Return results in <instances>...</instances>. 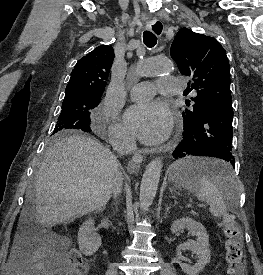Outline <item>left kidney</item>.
<instances>
[{"label": "left kidney", "mask_w": 263, "mask_h": 275, "mask_svg": "<svg viewBox=\"0 0 263 275\" xmlns=\"http://www.w3.org/2000/svg\"><path fill=\"white\" fill-rule=\"evenodd\" d=\"M184 229H187L191 235L197 236V240L180 244L177 246V253H181L182 250H191L198 256V261L194 265H189L182 263L178 258H174L173 262L178 263L183 272L187 275H198V273L204 269L206 264H208L211 259L209 236L205 227L190 217L180 218L174 221L171 226V232L173 234H176Z\"/></svg>", "instance_id": "5707ae66"}]
</instances>
